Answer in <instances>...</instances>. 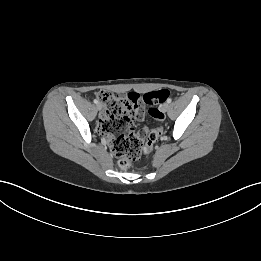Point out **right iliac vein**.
<instances>
[{
    "label": "right iliac vein",
    "instance_id": "obj_1",
    "mask_svg": "<svg viewBox=\"0 0 261 261\" xmlns=\"http://www.w3.org/2000/svg\"><path fill=\"white\" fill-rule=\"evenodd\" d=\"M97 109L100 111L102 110V105L100 103L97 104Z\"/></svg>",
    "mask_w": 261,
    "mask_h": 261
}]
</instances>
